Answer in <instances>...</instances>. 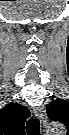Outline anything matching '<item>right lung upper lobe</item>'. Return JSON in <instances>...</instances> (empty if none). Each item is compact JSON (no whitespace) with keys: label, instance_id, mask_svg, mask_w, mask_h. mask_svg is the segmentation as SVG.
Returning <instances> with one entry per match:
<instances>
[{"label":"right lung upper lobe","instance_id":"cb5924a9","mask_svg":"<svg viewBox=\"0 0 69 135\" xmlns=\"http://www.w3.org/2000/svg\"><path fill=\"white\" fill-rule=\"evenodd\" d=\"M30 116L29 110L20 104H7L0 111L1 133L5 135H24V125Z\"/></svg>","mask_w":69,"mask_h":135}]
</instances>
